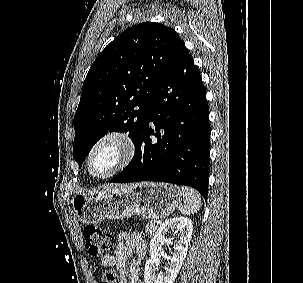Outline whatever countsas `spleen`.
Returning <instances> with one entry per match:
<instances>
[{"mask_svg":"<svg viewBox=\"0 0 303 283\" xmlns=\"http://www.w3.org/2000/svg\"><path fill=\"white\" fill-rule=\"evenodd\" d=\"M183 204L179 210L184 215H190L198 212L201 207V199L199 194L192 188L182 186Z\"/></svg>","mask_w":303,"mask_h":283,"instance_id":"1","label":"spleen"}]
</instances>
